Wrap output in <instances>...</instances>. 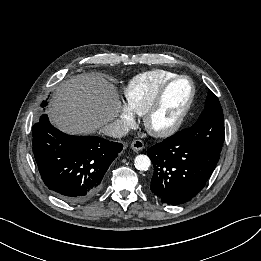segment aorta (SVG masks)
Here are the masks:
<instances>
[{
    "label": "aorta",
    "mask_w": 261,
    "mask_h": 261,
    "mask_svg": "<svg viewBox=\"0 0 261 261\" xmlns=\"http://www.w3.org/2000/svg\"><path fill=\"white\" fill-rule=\"evenodd\" d=\"M134 165L136 169L145 171L150 167L151 161L148 156L142 154L135 157Z\"/></svg>",
    "instance_id": "aorta-1"
}]
</instances>
